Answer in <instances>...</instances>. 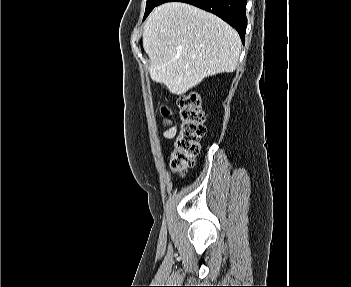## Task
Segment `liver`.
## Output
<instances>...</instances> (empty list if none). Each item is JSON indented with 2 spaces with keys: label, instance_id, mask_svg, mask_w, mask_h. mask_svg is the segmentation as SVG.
<instances>
[{
  "label": "liver",
  "instance_id": "6515ba94",
  "mask_svg": "<svg viewBox=\"0 0 351 287\" xmlns=\"http://www.w3.org/2000/svg\"><path fill=\"white\" fill-rule=\"evenodd\" d=\"M149 74L181 95L209 76L236 69L241 40L219 17L186 3L156 7L143 30Z\"/></svg>",
  "mask_w": 351,
  "mask_h": 287
}]
</instances>
